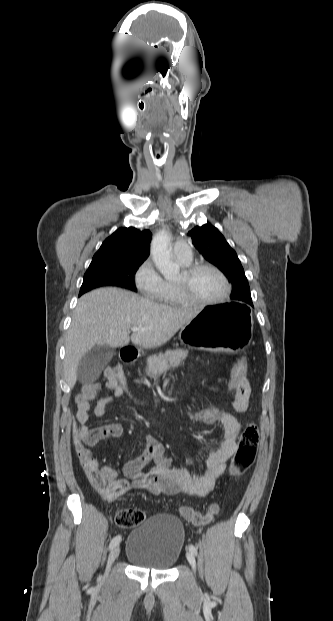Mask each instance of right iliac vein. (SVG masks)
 <instances>
[{
    "label": "right iliac vein",
    "mask_w": 333,
    "mask_h": 621,
    "mask_svg": "<svg viewBox=\"0 0 333 621\" xmlns=\"http://www.w3.org/2000/svg\"><path fill=\"white\" fill-rule=\"evenodd\" d=\"M119 554H120V547H119V546H115V547L111 550V552H110V554H109V556H108V559H107L106 574H108V573H109V571H110V569H111V567H112V564H113V563H114V561L117 559V557L119 556Z\"/></svg>",
    "instance_id": "1"
}]
</instances>
